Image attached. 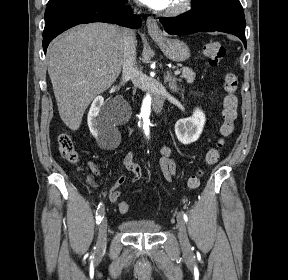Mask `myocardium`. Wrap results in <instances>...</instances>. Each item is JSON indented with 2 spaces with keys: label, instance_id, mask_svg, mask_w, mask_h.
Wrapping results in <instances>:
<instances>
[{
  "label": "myocardium",
  "instance_id": "f54148a6",
  "mask_svg": "<svg viewBox=\"0 0 288 280\" xmlns=\"http://www.w3.org/2000/svg\"><path fill=\"white\" fill-rule=\"evenodd\" d=\"M194 0H180L176 5L173 7L168 8L165 11L167 16H179L186 12H188L193 4Z\"/></svg>",
  "mask_w": 288,
  "mask_h": 280
}]
</instances>
